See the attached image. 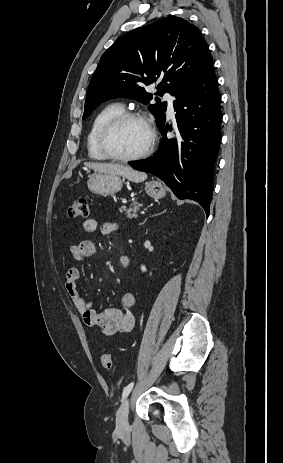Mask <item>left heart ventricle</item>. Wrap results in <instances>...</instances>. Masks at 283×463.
I'll return each mask as SVG.
<instances>
[{
    "label": "left heart ventricle",
    "instance_id": "1",
    "mask_svg": "<svg viewBox=\"0 0 283 463\" xmlns=\"http://www.w3.org/2000/svg\"><path fill=\"white\" fill-rule=\"evenodd\" d=\"M149 139V131L141 121L128 120L112 133L110 147L118 155L133 156L147 147Z\"/></svg>",
    "mask_w": 283,
    "mask_h": 463
}]
</instances>
